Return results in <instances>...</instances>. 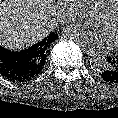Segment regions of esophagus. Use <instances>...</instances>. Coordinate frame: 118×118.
Here are the masks:
<instances>
[{
    "mask_svg": "<svg viewBox=\"0 0 118 118\" xmlns=\"http://www.w3.org/2000/svg\"><path fill=\"white\" fill-rule=\"evenodd\" d=\"M88 56H94L95 55V52L92 51V50H88V49H85L83 48L82 49Z\"/></svg>",
    "mask_w": 118,
    "mask_h": 118,
    "instance_id": "1",
    "label": "esophagus"
}]
</instances>
